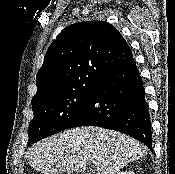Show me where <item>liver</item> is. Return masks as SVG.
<instances>
[{
	"instance_id": "liver-1",
	"label": "liver",
	"mask_w": 175,
	"mask_h": 174,
	"mask_svg": "<svg viewBox=\"0 0 175 174\" xmlns=\"http://www.w3.org/2000/svg\"><path fill=\"white\" fill-rule=\"evenodd\" d=\"M146 154L147 147L128 135L85 126L65 130L33 145L28 163L42 174L85 171L87 164L95 166L96 174H115Z\"/></svg>"
}]
</instances>
